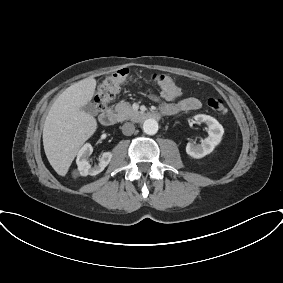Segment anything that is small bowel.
I'll return each instance as SVG.
<instances>
[{
    "label": "small bowel",
    "instance_id": "small-bowel-1",
    "mask_svg": "<svg viewBox=\"0 0 283 283\" xmlns=\"http://www.w3.org/2000/svg\"><path fill=\"white\" fill-rule=\"evenodd\" d=\"M176 97H172V98H166L167 100H173ZM201 106L200 101L195 98V97H187L184 98L182 100H180L179 102H177L176 104H172V105H163V109L166 113H172V114H178L181 112H190V111H195L197 109H199Z\"/></svg>",
    "mask_w": 283,
    "mask_h": 283
}]
</instances>
